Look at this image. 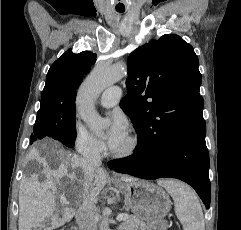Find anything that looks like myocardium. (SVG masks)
Returning <instances> with one entry per match:
<instances>
[{
	"label": "myocardium",
	"mask_w": 241,
	"mask_h": 230,
	"mask_svg": "<svg viewBox=\"0 0 241 230\" xmlns=\"http://www.w3.org/2000/svg\"><path fill=\"white\" fill-rule=\"evenodd\" d=\"M139 148V140L135 135L127 137V145L122 150H113L112 155L116 158L125 159L133 156Z\"/></svg>",
	"instance_id": "myocardium-1"
}]
</instances>
